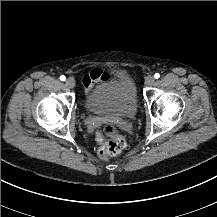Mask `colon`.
<instances>
[{
	"label": "colon",
	"mask_w": 217,
	"mask_h": 217,
	"mask_svg": "<svg viewBox=\"0 0 217 217\" xmlns=\"http://www.w3.org/2000/svg\"><path fill=\"white\" fill-rule=\"evenodd\" d=\"M105 133L111 135L110 141L101 149V157H106L109 155H115L121 151L124 147V139L117 135V127L113 123H108L104 126Z\"/></svg>",
	"instance_id": "colon-1"
}]
</instances>
